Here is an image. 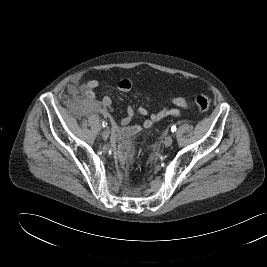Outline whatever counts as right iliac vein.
<instances>
[{
  "label": "right iliac vein",
  "instance_id": "right-iliac-vein-1",
  "mask_svg": "<svg viewBox=\"0 0 267 267\" xmlns=\"http://www.w3.org/2000/svg\"><path fill=\"white\" fill-rule=\"evenodd\" d=\"M109 134H110L109 130H108V129H104V130L102 131V138H103L104 140H107L108 137H109Z\"/></svg>",
  "mask_w": 267,
  "mask_h": 267
}]
</instances>
